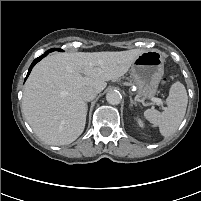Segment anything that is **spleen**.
Listing matches in <instances>:
<instances>
[{
  "label": "spleen",
  "instance_id": "obj_1",
  "mask_svg": "<svg viewBox=\"0 0 201 201\" xmlns=\"http://www.w3.org/2000/svg\"><path fill=\"white\" fill-rule=\"evenodd\" d=\"M187 103L186 89L181 82L177 81L170 88L165 110L160 113L155 109H147L144 117L154 126L159 127L162 136L168 137L175 133L181 124L186 113Z\"/></svg>",
  "mask_w": 201,
  "mask_h": 201
}]
</instances>
